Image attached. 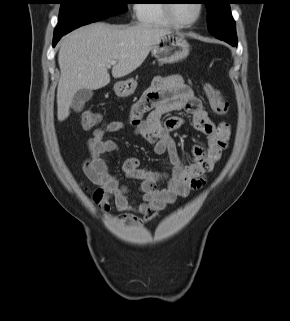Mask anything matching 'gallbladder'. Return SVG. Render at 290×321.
<instances>
[{
	"instance_id": "bac80fb5",
	"label": "gallbladder",
	"mask_w": 290,
	"mask_h": 321,
	"mask_svg": "<svg viewBox=\"0 0 290 321\" xmlns=\"http://www.w3.org/2000/svg\"><path fill=\"white\" fill-rule=\"evenodd\" d=\"M93 96V91L90 89H81L73 97L71 107L76 111H82L86 102H88Z\"/></svg>"
}]
</instances>
